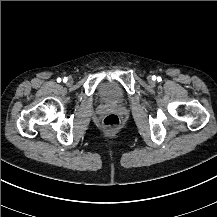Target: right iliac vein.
Instances as JSON below:
<instances>
[{
  "label": "right iliac vein",
  "mask_w": 217,
  "mask_h": 217,
  "mask_svg": "<svg viewBox=\"0 0 217 217\" xmlns=\"http://www.w3.org/2000/svg\"><path fill=\"white\" fill-rule=\"evenodd\" d=\"M67 84H68V85L73 84V79H72L71 77H69V78L67 79Z\"/></svg>",
  "instance_id": "63e3f726"
}]
</instances>
